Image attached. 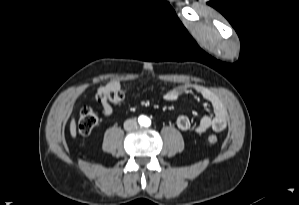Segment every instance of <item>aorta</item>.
<instances>
[{
  "instance_id": "aorta-1",
  "label": "aorta",
  "mask_w": 299,
  "mask_h": 205,
  "mask_svg": "<svg viewBox=\"0 0 299 205\" xmlns=\"http://www.w3.org/2000/svg\"><path fill=\"white\" fill-rule=\"evenodd\" d=\"M146 120H147V118H146ZM140 123L143 124V125L145 124L144 122H140Z\"/></svg>"
}]
</instances>
